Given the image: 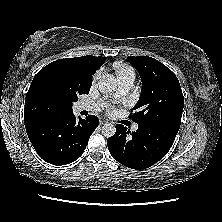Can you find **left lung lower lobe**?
<instances>
[{
	"mask_svg": "<svg viewBox=\"0 0 222 222\" xmlns=\"http://www.w3.org/2000/svg\"><path fill=\"white\" fill-rule=\"evenodd\" d=\"M180 124L170 121L138 124L135 132L116 125V133L108 138L113 158L132 169L148 168L161 160L170 150Z\"/></svg>",
	"mask_w": 222,
	"mask_h": 222,
	"instance_id": "obj_1",
	"label": "left lung lower lobe"
}]
</instances>
